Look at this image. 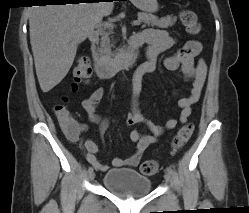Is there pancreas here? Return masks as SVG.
<instances>
[{
  "label": "pancreas",
  "instance_id": "cf45deb5",
  "mask_svg": "<svg viewBox=\"0 0 249 213\" xmlns=\"http://www.w3.org/2000/svg\"><path fill=\"white\" fill-rule=\"evenodd\" d=\"M139 19L145 24L150 26H156L159 28H168L174 25L177 21L176 17L167 16L163 18H158L152 14L147 13H138ZM113 26L112 27H104L100 31L101 41L99 47V53L102 59L104 60H113L115 53L112 52V47H114V43L112 42V34H113Z\"/></svg>",
  "mask_w": 249,
  "mask_h": 213
}]
</instances>
